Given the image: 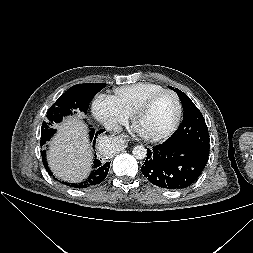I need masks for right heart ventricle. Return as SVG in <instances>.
<instances>
[{
  "label": "right heart ventricle",
  "mask_w": 253,
  "mask_h": 253,
  "mask_svg": "<svg viewBox=\"0 0 253 253\" xmlns=\"http://www.w3.org/2000/svg\"><path fill=\"white\" fill-rule=\"evenodd\" d=\"M160 90H163V87L158 84L137 83L116 88L111 98L126 117H132L133 113L146 98Z\"/></svg>",
  "instance_id": "right-heart-ventricle-1"
}]
</instances>
